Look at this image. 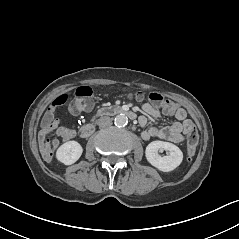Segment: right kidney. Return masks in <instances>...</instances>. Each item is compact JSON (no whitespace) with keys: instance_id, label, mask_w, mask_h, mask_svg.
<instances>
[{"instance_id":"ca27d5eb","label":"right kidney","mask_w":239,"mask_h":239,"mask_svg":"<svg viewBox=\"0 0 239 239\" xmlns=\"http://www.w3.org/2000/svg\"><path fill=\"white\" fill-rule=\"evenodd\" d=\"M83 153L82 145L77 141L63 143L55 152L56 159L64 165L77 162Z\"/></svg>"}]
</instances>
